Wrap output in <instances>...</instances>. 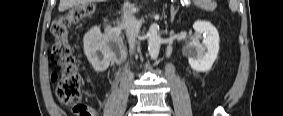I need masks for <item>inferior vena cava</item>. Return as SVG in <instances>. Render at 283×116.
<instances>
[{"label": "inferior vena cava", "mask_w": 283, "mask_h": 116, "mask_svg": "<svg viewBox=\"0 0 283 116\" xmlns=\"http://www.w3.org/2000/svg\"><path fill=\"white\" fill-rule=\"evenodd\" d=\"M136 8L133 4L126 3L124 7V25L126 29V36L128 38L130 51L134 52L136 38L139 35V22L134 16Z\"/></svg>", "instance_id": "obj_1"}]
</instances>
